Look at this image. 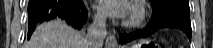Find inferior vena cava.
<instances>
[{
    "instance_id": "inferior-vena-cava-1",
    "label": "inferior vena cava",
    "mask_w": 213,
    "mask_h": 48,
    "mask_svg": "<svg viewBox=\"0 0 213 48\" xmlns=\"http://www.w3.org/2000/svg\"><path fill=\"white\" fill-rule=\"evenodd\" d=\"M105 19L103 14H95L93 23L88 27L85 37L87 48H100L107 35Z\"/></svg>"
}]
</instances>
